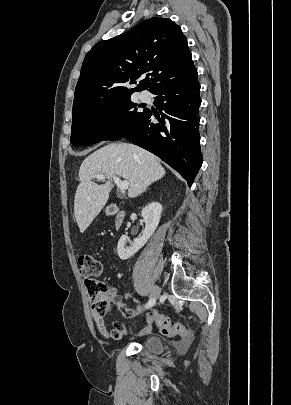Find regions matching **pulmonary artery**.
<instances>
[{
  "label": "pulmonary artery",
  "mask_w": 291,
  "mask_h": 405,
  "mask_svg": "<svg viewBox=\"0 0 291 405\" xmlns=\"http://www.w3.org/2000/svg\"><path fill=\"white\" fill-rule=\"evenodd\" d=\"M140 98H141V100L146 101V100H148L149 96H148L147 93L141 92L140 93Z\"/></svg>",
  "instance_id": "obj_1"
}]
</instances>
